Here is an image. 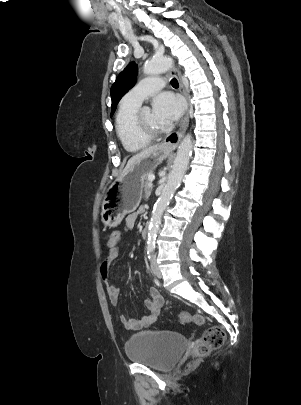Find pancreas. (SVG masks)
Here are the masks:
<instances>
[{"mask_svg":"<svg viewBox=\"0 0 301 405\" xmlns=\"http://www.w3.org/2000/svg\"><path fill=\"white\" fill-rule=\"evenodd\" d=\"M149 175H152V174H148V176ZM148 176H147L146 181L144 183V197H145L146 200L150 197L151 191H152V185H151V182L148 179Z\"/></svg>","mask_w":301,"mask_h":405,"instance_id":"cf45deb5","label":"pancreas"}]
</instances>
